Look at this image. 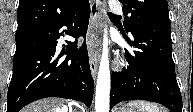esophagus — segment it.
<instances>
[{
  "mask_svg": "<svg viewBox=\"0 0 193 112\" xmlns=\"http://www.w3.org/2000/svg\"><path fill=\"white\" fill-rule=\"evenodd\" d=\"M90 9H91V25H90V33L97 31L100 26V17H101V1L100 0H91L90 1ZM98 50L93 46L89 48V63L91 74L93 78H96L97 70H98Z\"/></svg>",
  "mask_w": 193,
  "mask_h": 112,
  "instance_id": "esophagus-1",
  "label": "esophagus"
}]
</instances>
